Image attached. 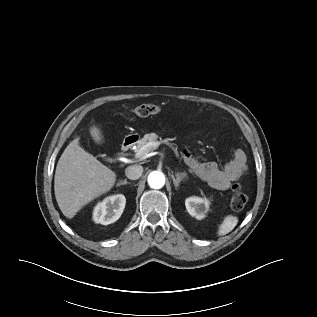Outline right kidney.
Here are the masks:
<instances>
[{
    "label": "right kidney",
    "mask_w": 317,
    "mask_h": 317,
    "mask_svg": "<svg viewBox=\"0 0 317 317\" xmlns=\"http://www.w3.org/2000/svg\"><path fill=\"white\" fill-rule=\"evenodd\" d=\"M126 198L122 194L106 197L93 210V220L103 225L117 221L125 208Z\"/></svg>",
    "instance_id": "right-kidney-1"
}]
</instances>
